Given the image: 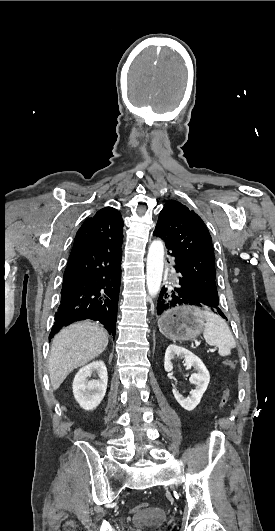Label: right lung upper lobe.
<instances>
[{"label":"right lung upper lobe","instance_id":"obj_1","mask_svg":"<svg viewBox=\"0 0 275 531\" xmlns=\"http://www.w3.org/2000/svg\"><path fill=\"white\" fill-rule=\"evenodd\" d=\"M122 238L123 220L121 214L115 208L105 207L82 224L76 234L73 249L81 248L103 239L122 240Z\"/></svg>","mask_w":275,"mask_h":531}]
</instances>
